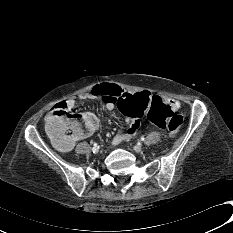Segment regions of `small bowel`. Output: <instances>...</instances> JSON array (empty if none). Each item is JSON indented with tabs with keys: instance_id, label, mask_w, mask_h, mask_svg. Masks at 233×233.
Wrapping results in <instances>:
<instances>
[{
	"instance_id": "c3829d8e",
	"label": "small bowel",
	"mask_w": 233,
	"mask_h": 233,
	"mask_svg": "<svg viewBox=\"0 0 233 233\" xmlns=\"http://www.w3.org/2000/svg\"><path fill=\"white\" fill-rule=\"evenodd\" d=\"M112 84H115V83H112ZM115 85L119 86L118 84H115ZM93 88L88 92H84V93L80 94L79 99L80 100H93L94 99L93 93H92ZM161 100L166 106L176 104L179 107V103L170 97L163 96V97H161ZM62 104L67 105L71 109L74 108V106H75V102L73 99H68ZM104 105L108 110H111L114 108V106H112L108 103H104ZM126 116H127L126 122L128 123V128L115 135V137L113 139V142L115 144L125 142V141L132 139L137 134L138 129L140 127L139 117L135 118V117H131L129 115H126ZM54 142H55V146L57 147L58 150H60L61 152H66V151H69L73 147L75 139L68 141V142L63 141L61 139H54Z\"/></svg>"
}]
</instances>
